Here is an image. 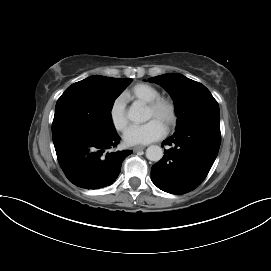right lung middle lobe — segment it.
I'll list each match as a JSON object with an SVG mask.
<instances>
[{
    "mask_svg": "<svg viewBox=\"0 0 271 271\" xmlns=\"http://www.w3.org/2000/svg\"><path fill=\"white\" fill-rule=\"evenodd\" d=\"M130 78L92 76L68 87L58 99L52 124L53 140L85 128L115 130L110 111Z\"/></svg>",
    "mask_w": 271,
    "mask_h": 271,
    "instance_id": "right-lung-middle-lobe-1",
    "label": "right lung middle lobe"
}]
</instances>
